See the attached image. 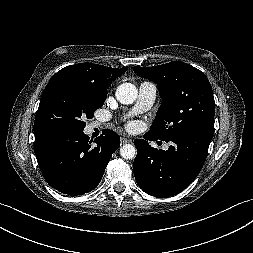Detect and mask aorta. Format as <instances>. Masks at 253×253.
<instances>
[{
    "label": "aorta",
    "instance_id": "obj_1",
    "mask_svg": "<svg viewBox=\"0 0 253 253\" xmlns=\"http://www.w3.org/2000/svg\"><path fill=\"white\" fill-rule=\"evenodd\" d=\"M116 99L122 104H132L137 96L138 90L131 83L119 85L115 92ZM120 155L124 159H133L136 156V148L131 144H125L120 148Z\"/></svg>",
    "mask_w": 253,
    "mask_h": 253
}]
</instances>
